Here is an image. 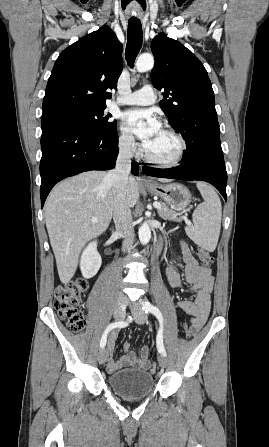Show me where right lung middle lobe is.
Here are the masks:
<instances>
[{
	"instance_id": "dd1d6c3e",
	"label": "right lung middle lobe",
	"mask_w": 269,
	"mask_h": 447,
	"mask_svg": "<svg viewBox=\"0 0 269 447\" xmlns=\"http://www.w3.org/2000/svg\"><path fill=\"white\" fill-rule=\"evenodd\" d=\"M106 106L99 105H76L57 108L56 112H66L79 119L80 123L93 130L109 133L117 130L116 121H107L111 114L103 117Z\"/></svg>"
}]
</instances>
